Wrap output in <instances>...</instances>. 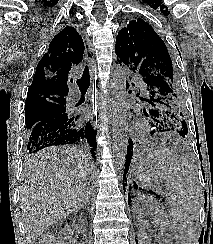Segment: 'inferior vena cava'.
I'll return each mask as SVG.
<instances>
[{
    "label": "inferior vena cava",
    "mask_w": 213,
    "mask_h": 244,
    "mask_svg": "<svg viewBox=\"0 0 213 244\" xmlns=\"http://www.w3.org/2000/svg\"><path fill=\"white\" fill-rule=\"evenodd\" d=\"M89 193L87 192V194L85 195V202H89Z\"/></svg>",
    "instance_id": "602c4592"
}]
</instances>
